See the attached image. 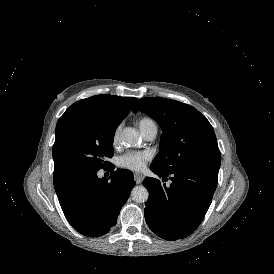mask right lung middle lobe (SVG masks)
I'll use <instances>...</instances> for the list:
<instances>
[{
    "mask_svg": "<svg viewBox=\"0 0 274 274\" xmlns=\"http://www.w3.org/2000/svg\"><path fill=\"white\" fill-rule=\"evenodd\" d=\"M127 115L114 110L89 111L66 119L53 146L54 171L70 173L79 169L108 168L116 128Z\"/></svg>",
    "mask_w": 274,
    "mask_h": 274,
    "instance_id": "1",
    "label": "right lung middle lobe"
}]
</instances>
